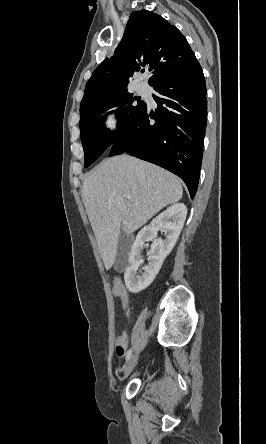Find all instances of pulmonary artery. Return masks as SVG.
<instances>
[{
  "instance_id": "e3ab8cb5",
  "label": "pulmonary artery",
  "mask_w": 266,
  "mask_h": 444,
  "mask_svg": "<svg viewBox=\"0 0 266 444\" xmlns=\"http://www.w3.org/2000/svg\"><path fill=\"white\" fill-rule=\"evenodd\" d=\"M138 90H139V91H142V90H143V87H142V86H138Z\"/></svg>"
}]
</instances>
